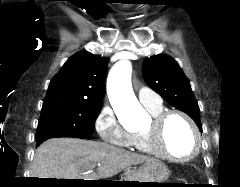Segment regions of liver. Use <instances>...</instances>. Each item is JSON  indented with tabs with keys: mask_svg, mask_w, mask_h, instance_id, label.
I'll list each match as a JSON object with an SVG mask.
<instances>
[{
	"mask_svg": "<svg viewBox=\"0 0 240 187\" xmlns=\"http://www.w3.org/2000/svg\"><path fill=\"white\" fill-rule=\"evenodd\" d=\"M151 160L102 142L51 138L37 148L30 177L96 180ZM96 165L97 173L91 172Z\"/></svg>",
	"mask_w": 240,
	"mask_h": 187,
	"instance_id": "6515ba94",
	"label": "liver"
}]
</instances>
